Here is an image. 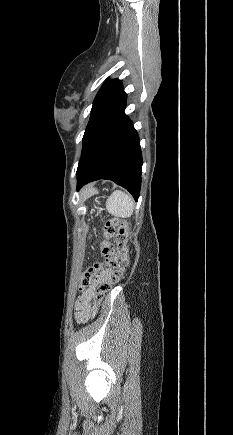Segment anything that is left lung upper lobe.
<instances>
[{
	"label": "left lung upper lobe",
	"mask_w": 233,
	"mask_h": 435,
	"mask_svg": "<svg viewBox=\"0 0 233 435\" xmlns=\"http://www.w3.org/2000/svg\"><path fill=\"white\" fill-rule=\"evenodd\" d=\"M126 98L120 80L104 83L93 101L91 117L83 136L82 152L104 127L124 115Z\"/></svg>",
	"instance_id": "left-lung-upper-lobe-1"
}]
</instances>
